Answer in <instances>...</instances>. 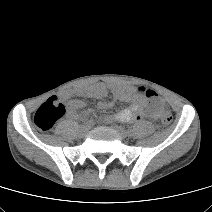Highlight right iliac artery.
<instances>
[{"mask_svg":"<svg viewBox=\"0 0 212 212\" xmlns=\"http://www.w3.org/2000/svg\"><path fill=\"white\" fill-rule=\"evenodd\" d=\"M92 124H93V120H89L83 123V125H92Z\"/></svg>","mask_w":212,"mask_h":212,"instance_id":"obj_1","label":"right iliac artery"}]
</instances>
